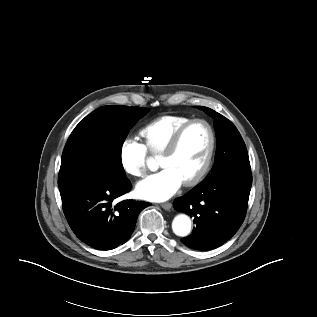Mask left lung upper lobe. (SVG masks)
Segmentation results:
<instances>
[{
	"label": "left lung upper lobe",
	"mask_w": 317,
	"mask_h": 317,
	"mask_svg": "<svg viewBox=\"0 0 317 317\" xmlns=\"http://www.w3.org/2000/svg\"><path fill=\"white\" fill-rule=\"evenodd\" d=\"M214 118L217 135L215 164L204 181H213L233 171H251L245 143L234 124L214 110L199 106Z\"/></svg>",
	"instance_id": "5c2ea615"
}]
</instances>
